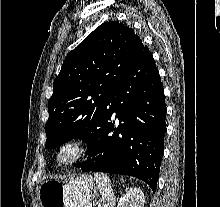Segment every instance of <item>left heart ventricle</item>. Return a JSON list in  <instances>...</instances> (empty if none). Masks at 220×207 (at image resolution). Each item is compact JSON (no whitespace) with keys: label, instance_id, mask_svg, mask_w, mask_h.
Returning <instances> with one entry per match:
<instances>
[{"label":"left heart ventricle","instance_id":"b2bd125f","mask_svg":"<svg viewBox=\"0 0 220 207\" xmlns=\"http://www.w3.org/2000/svg\"><path fill=\"white\" fill-rule=\"evenodd\" d=\"M64 156H65V157H66V156H68V153H65V155H64Z\"/></svg>","mask_w":220,"mask_h":207}]
</instances>
